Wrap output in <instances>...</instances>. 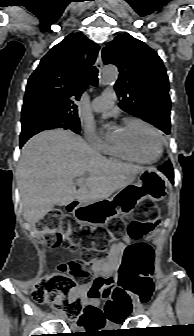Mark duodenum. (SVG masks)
I'll use <instances>...</instances> for the list:
<instances>
[{
    "label": "duodenum",
    "mask_w": 194,
    "mask_h": 336,
    "mask_svg": "<svg viewBox=\"0 0 194 336\" xmlns=\"http://www.w3.org/2000/svg\"><path fill=\"white\" fill-rule=\"evenodd\" d=\"M75 206H76V202H72L71 204H69L68 208L72 210Z\"/></svg>",
    "instance_id": "obj_1"
}]
</instances>
